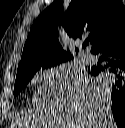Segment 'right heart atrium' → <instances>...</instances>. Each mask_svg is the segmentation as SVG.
I'll return each mask as SVG.
<instances>
[{
	"mask_svg": "<svg viewBox=\"0 0 125 128\" xmlns=\"http://www.w3.org/2000/svg\"><path fill=\"white\" fill-rule=\"evenodd\" d=\"M40 78H41L44 82H47V80H48V77H47L46 74L40 75Z\"/></svg>",
	"mask_w": 125,
	"mask_h": 128,
	"instance_id": "right-heart-atrium-1",
	"label": "right heart atrium"
}]
</instances>
